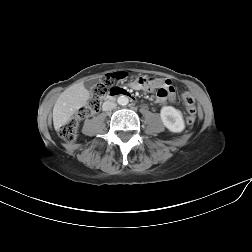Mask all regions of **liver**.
I'll use <instances>...</instances> for the list:
<instances>
[{"label": "liver", "instance_id": "obj_1", "mask_svg": "<svg viewBox=\"0 0 252 252\" xmlns=\"http://www.w3.org/2000/svg\"><path fill=\"white\" fill-rule=\"evenodd\" d=\"M89 97V91L83 83L74 84L62 92L53 108L55 130L58 131L80 108L86 105Z\"/></svg>", "mask_w": 252, "mask_h": 252}]
</instances>
